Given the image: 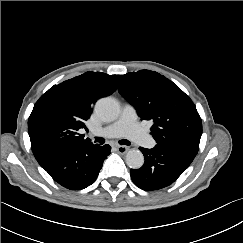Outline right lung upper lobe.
I'll return each instance as SVG.
<instances>
[{"label":"right lung upper lobe","mask_w":243,"mask_h":243,"mask_svg":"<svg viewBox=\"0 0 243 243\" xmlns=\"http://www.w3.org/2000/svg\"><path fill=\"white\" fill-rule=\"evenodd\" d=\"M120 76L86 72L52 86L35 103L28 119L33 154L48 146L92 143L78 133L86 128L95 102L116 91Z\"/></svg>","instance_id":"right-lung-upper-lobe-1"}]
</instances>
